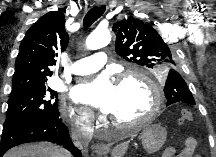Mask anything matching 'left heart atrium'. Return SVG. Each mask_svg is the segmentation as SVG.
Segmentation results:
<instances>
[{
    "label": "left heart atrium",
    "instance_id": "39dd6f15",
    "mask_svg": "<svg viewBox=\"0 0 216 157\" xmlns=\"http://www.w3.org/2000/svg\"><path fill=\"white\" fill-rule=\"evenodd\" d=\"M72 98L79 103L94 106L103 113H111L116 104V86L108 75L77 85L72 91Z\"/></svg>",
    "mask_w": 216,
    "mask_h": 157
}]
</instances>
